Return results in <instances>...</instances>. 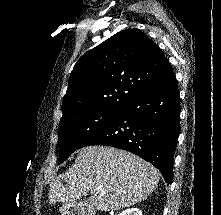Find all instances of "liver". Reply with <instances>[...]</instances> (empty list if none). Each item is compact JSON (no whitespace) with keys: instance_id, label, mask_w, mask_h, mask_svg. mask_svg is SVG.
I'll use <instances>...</instances> for the list:
<instances>
[{"instance_id":"6515ba94","label":"liver","mask_w":221,"mask_h":215,"mask_svg":"<svg viewBox=\"0 0 221 215\" xmlns=\"http://www.w3.org/2000/svg\"><path fill=\"white\" fill-rule=\"evenodd\" d=\"M159 180L153 165L130 152L88 146L79 151L69 170L50 183L49 204L74 203L90 191L92 208L120 210L147 199Z\"/></svg>"}]
</instances>
